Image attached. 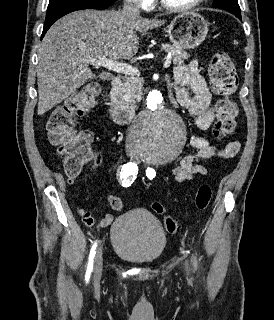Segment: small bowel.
I'll return each mask as SVG.
<instances>
[{
	"mask_svg": "<svg viewBox=\"0 0 274 320\" xmlns=\"http://www.w3.org/2000/svg\"><path fill=\"white\" fill-rule=\"evenodd\" d=\"M172 89L178 103L194 118V124L201 131L208 130L213 124L216 116L215 104L207 82L200 73L197 62L191 61L188 64L177 67L173 73L171 81ZM192 88L193 95H190L186 86ZM190 145L196 150L194 154H186L177 166L172 169V174L177 182H184L192 179L195 175H204L207 168L204 163L214 156L221 158H230L235 156L240 149V142L232 141L224 148L214 146L205 136L193 135L190 137ZM55 151V148H52ZM51 160L49 157L46 159ZM90 162L91 177L97 171L102 163V155L97 150H90L88 154ZM121 158L117 161L120 164ZM74 196L77 198L78 193ZM82 222L91 227L94 219L91 213L83 208L78 207L76 210ZM113 221L112 215H106L101 221L100 226H108Z\"/></svg>",
	"mask_w": 274,
	"mask_h": 320,
	"instance_id": "1",
	"label": "small bowel"
}]
</instances>
